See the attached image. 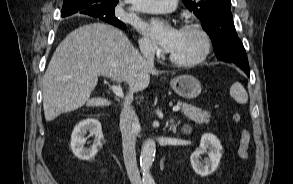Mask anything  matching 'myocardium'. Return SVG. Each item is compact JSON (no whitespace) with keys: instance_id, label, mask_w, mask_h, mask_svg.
<instances>
[{"instance_id":"myocardium-1","label":"myocardium","mask_w":293,"mask_h":184,"mask_svg":"<svg viewBox=\"0 0 293 184\" xmlns=\"http://www.w3.org/2000/svg\"><path fill=\"white\" fill-rule=\"evenodd\" d=\"M182 30H193L196 31L202 39V49L201 52L194 58L189 60H182L169 54V60L175 65L182 67L195 66L203 62L211 52L212 49V39L208 31L199 23H187L182 27Z\"/></svg>"}]
</instances>
